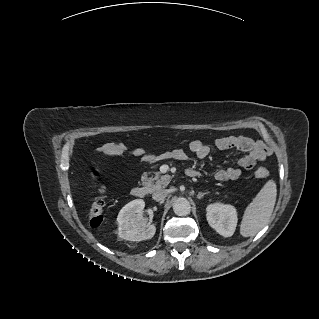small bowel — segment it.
Returning a JSON list of instances; mask_svg holds the SVG:
<instances>
[{"instance_id": "obj_1", "label": "small bowel", "mask_w": 319, "mask_h": 319, "mask_svg": "<svg viewBox=\"0 0 319 319\" xmlns=\"http://www.w3.org/2000/svg\"><path fill=\"white\" fill-rule=\"evenodd\" d=\"M219 149H237L245 154L238 160L237 166L219 168L215 170L214 177L216 180L225 182L238 179L242 170H252L257 162L263 161L268 155V150L259 141L252 138L234 135L219 138L215 141ZM190 151L199 159H205L210 154V147L202 140H193L189 144ZM98 153L104 157L117 155H131L140 158L142 161L151 162L155 156L146 152L139 146H130L123 142H110L98 149ZM163 156L178 161H184L188 158L186 151L182 148H175L162 153ZM193 170V169H190Z\"/></svg>"}]
</instances>
